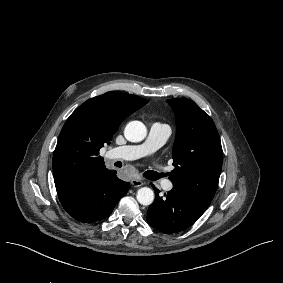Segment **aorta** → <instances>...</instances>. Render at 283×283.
Listing matches in <instances>:
<instances>
[{"label":"aorta","instance_id":"762f6f07","mask_svg":"<svg viewBox=\"0 0 283 283\" xmlns=\"http://www.w3.org/2000/svg\"><path fill=\"white\" fill-rule=\"evenodd\" d=\"M146 135V126L140 121L129 122L124 130V136L130 142H140ZM136 198L141 205L147 206L153 203L154 192L151 188L142 187L137 191Z\"/></svg>","mask_w":283,"mask_h":283}]
</instances>
